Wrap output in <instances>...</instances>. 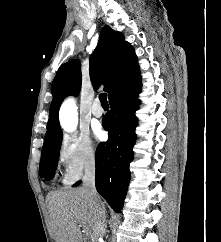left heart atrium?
I'll return each mask as SVG.
<instances>
[{
  "mask_svg": "<svg viewBox=\"0 0 221 242\" xmlns=\"http://www.w3.org/2000/svg\"><path fill=\"white\" fill-rule=\"evenodd\" d=\"M96 133L99 138H102L103 132L101 130H98Z\"/></svg>",
  "mask_w": 221,
  "mask_h": 242,
  "instance_id": "39dd6f15",
  "label": "left heart atrium"
}]
</instances>
